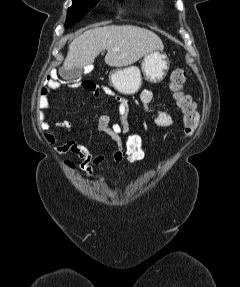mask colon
Wrapping results in <instances>:
<instances>
[{"instance_id": "5ec220e1", "label": "colon", "mask_w": 240, "mask_h": 287, "mask_svg": "<svg viewBox=\"0 0 240 287\" xmlns=\"http://www.w3.org/2000/svg\"><path fill=\"white\" fill-rule=\"evenodd\" d=\"M187 80V72L183 68H175L171 72L170 87L173 91L176 103L183 112L184 135L190 137L198 127L199 115L196 107L189 95L184 90ZM72 88H81L91 91L96 86L92 81H81L69 85ZM116 134L122 133V126L118 123L113 125ZM122 148L125 161L131 166H139L145 159V148L143 138L139 134L125 132L122 135Z\"/></svg>"}]
</instances>
